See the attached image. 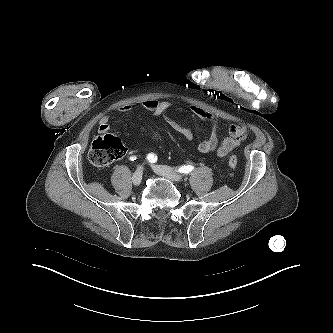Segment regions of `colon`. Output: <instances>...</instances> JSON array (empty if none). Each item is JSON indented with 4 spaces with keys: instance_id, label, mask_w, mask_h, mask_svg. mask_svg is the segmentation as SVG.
Here are the masks:
<instances>
[{
    "instance_id": "colon-1",
    "label": "colon",
    "mask_w": 333,
    "mask_h": 333,
    "mask_svg": "<svg viewBox=\"0 0 333 333\" xmlns=\"http://www.w3.org/2000/svg\"><path fill=\"white\" fill-rule=\"evenodd\" d=\"M126 149L121 141L111 135L97 137L91 144L88 152V159L91 164L103 167L121 159ZM231 175L237 166V157L232 155L228 161Z\"/></svg>"
}]
</instances>
